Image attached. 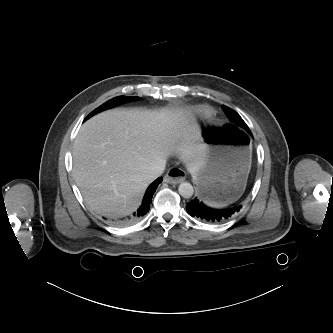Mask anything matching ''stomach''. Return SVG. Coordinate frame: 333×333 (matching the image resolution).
<instances>
[{"instance_id":"stomach-1","label":"stomach","mask_w":333,"mask_h":333,"mask_svg":"<svg viewBox=\"0 0 333 333\" xmlns=\"http://www.w3.org/2000/svg\"><path fill=\"white\" fill-rule=\"evenodd\" d=\"M203 165L194 176L202 196L220 206L242 194L251 167L250 138L229 125L203 131Z\"/></svg>"}]
</instances>
